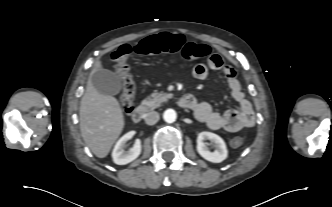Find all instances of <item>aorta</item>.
Returning <instances> with one entry per match:
<instances>
[{
    "label": "aorta",
    "instance_id": "aorta-1",
    "mask_svg": "<svg viewBox=\"0 0 332 207\" xmlns=\"http://www.w3.org/2000/svg\"><path fill=\"white\" fill-rule=\"evenodd\" d=\"M176 118H177V114H176V111L173 109H167L163 113V119L167 123H173L176 120Z\"/></svg>",
    "mask_w": 332,
    "mask_h": 207
}]
</instances>
